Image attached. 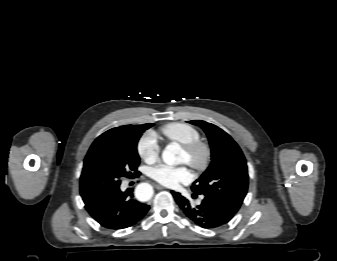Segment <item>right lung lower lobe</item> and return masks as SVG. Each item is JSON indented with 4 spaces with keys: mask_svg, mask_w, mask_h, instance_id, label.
Masks as SVG:
<instances>
[{
    "mask_svg": "<svg viewBox=\"0 0 337 261\" xmlns=\"http://www.w3.org/2000/svg\"><path fill=\"white\" fill-rule=\"evenodd\" d=\"M89 214L104 228L118 230L136 224L149 210V206L133 199L131 189L125 192L120 185L85 202Z\"/></svg>",
    "mask_w": 337,
    "mask_h": 261,
    "instance_id": "obj_1",
    "label": "right lung lower lobe"
}]
</instances>
